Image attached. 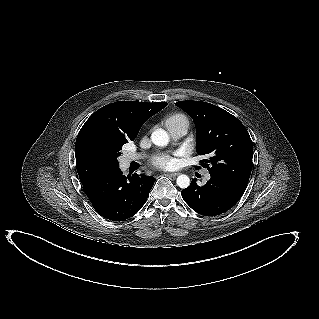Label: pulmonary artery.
<instances>
[{
	"mask_svg": "<svg viewBox=\"0 0 319 319\" xmlns=\"http://www.w3.org/2000/svg\"><path fill=\"white\" fill-rule=\"evenodd\" d=\"M168 131L171 137L174 140H179L184 137L187 133L188 126L182 122H170L167 123ZM141 158V155L135 153H128L125 155L124 159L126 162L135 161ZM205 178L209 179L210 175L207 173L205 174Z\"/></svg>",
	"mask_w": 319,
	"mask_h": 319,
	"instance_id": "e3ab8cb5",
	"label": "pulmonary artery"
}]
</instances>
